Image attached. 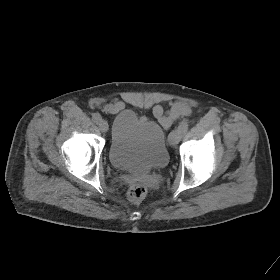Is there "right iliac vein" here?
Listing matches in <instances>:
<instances>
[{"label": "right iliac vein", "instance_id": "1", "mask_svg": "<svg viewBox=\"0 0 280 280\" xmlns=\"http://www.w3.org/2000/svg\"><path fill=\"white\" fill-rule=\"evenodd\" d=\"M99 129L101 132H107L108 131V123L105 120H101L98 123Z\"/></svg>", "mask_w": 280, "mask_h": 280}]
</instances>
